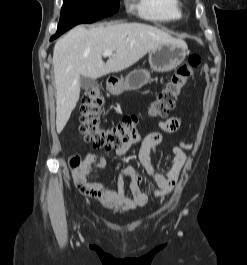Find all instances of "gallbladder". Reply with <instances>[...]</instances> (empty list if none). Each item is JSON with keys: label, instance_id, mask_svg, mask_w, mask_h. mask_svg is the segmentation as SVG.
<instances>
[{"label": "gallbladder", "instance_id": "1", "mask_svg": "<svg viewBox=\"0 0 247 265\" xmlns=\"http://www.w3.org/2000/svg\"><path fill=\"white\" fill-rule=\"evenodd\" d=\"M97 84L96 79L82 76L80 78V86L84 90H89Z\"/></svg>", "mask_w": 247, "mask_h": 265}]
</instances>
